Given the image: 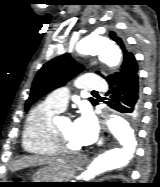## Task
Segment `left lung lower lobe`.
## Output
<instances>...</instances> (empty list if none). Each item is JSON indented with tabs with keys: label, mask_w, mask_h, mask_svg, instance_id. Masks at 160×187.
<instances>
[{
	"label": "left lung lower lobe",
	"mask_w": 160,
	"mask_h": 187,
	"mask_svg": "<svg viewBox=\"0 0 160 187\" xmlns=\"http://www.w3.org/2000/svg\"><path fill=\"white\" fill-rule=\"evenodd\" d=\"M107 82L109 106L136 123L142 111V89L135 57L129 56L121 71Z\"/></svg>",
	"instance_id": "obj_1"
}]
</instances>
